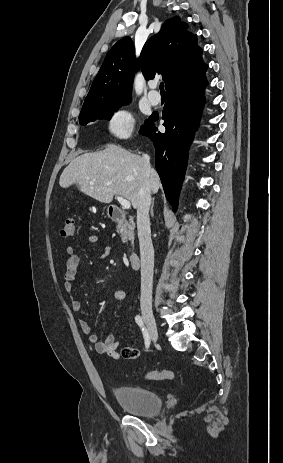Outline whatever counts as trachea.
Here are the masks:
<instances>
[{"label":"trachea","mask_w":283,"mask_h":463,"mask_svg":"<svg viewBox=\"0 0 283 463\" xmlns=\"http://www.w3.org/2000/svg\"><path fill=\"white\" fill-rule=\"evenodd\" d=\"M159 89H160L161 94L165 93V91H164V83L163 82L160 83Z\"/></svg>","instance_id":"obj_1"}]
</instances>
